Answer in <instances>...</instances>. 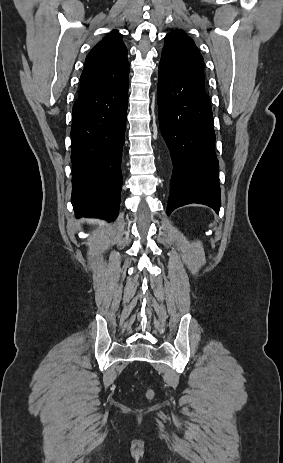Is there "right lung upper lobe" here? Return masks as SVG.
Returning <instances> with one entry per match:
<instances>
[{
  "mask_svg": "<svg viewBox=\"0 0 283 463\" xmlns=\"http://www.w3.org/2000/svg\"><path fill=\"white\" fill-rule=\"evenodd\" d=\"M130 66L127 49L117 30L100 41L87 55L80 77L79 95H84L125 79Z\"/></svg>",
  "mask_w": 283,
  "mask_h": 463,
  "instance_id": "1",
  "label": "right lung upper lobe"
}]
</instances>
